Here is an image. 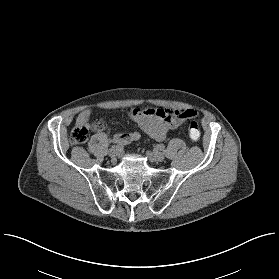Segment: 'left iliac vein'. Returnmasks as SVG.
<instances>
[{
	"label": "left iliac vein",
	"mask_w": 279,
	"mask_h": 279,
	"mask_svg": "<svg viewBox=\"0 0 279 279\" xmlns=\"http://www.w3.org/2000/svg\"><path fill=\"white\" fill-rule=\"evenodd\" d=\"M148 155L155 161V162H162L164 160V154L161 152H148Z\"/></svg>",
	"instance_id": "4c4485c4"
}]
</instances>
